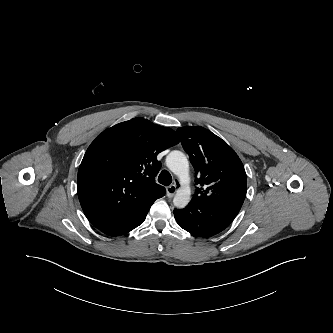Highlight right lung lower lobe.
<instances>
[{
  "label": "right lung lower lobe",
  "instance_id": "right-lung-lower-lobe-1",
  "mask_svg": "<svg viewBox=\"0 0 333 333\" xmlns=\"http://www.w3.org/2000/svg\"><path fill=\"white\" fill-rule=\"evenodd\" d=\"M148 211H145L140 215L134 216L126 220L105 223L98 225L96 227L103 233L110 236L123 235L133 230L134 228L138 227L140 224H142L146 218Z\"/></svg>",
  "mask_w": 333,
  "mask_h": 333
}]
</instances>
